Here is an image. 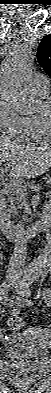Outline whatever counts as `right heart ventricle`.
<instances>
[{
    "mask_svg": "<svg viewBox=\"0 0 51 393\" xmlns=\"http://www.w3.org/2000/svg\"><path fill=\"white\" fill-rule=\"evenodd\" d=\"M49 93L39 92L42 98H47ZM25 136L24 138L41 140L44 139V134L38 125L36 115L25 117L24 123Z\"/></svg>",
    "mask_w": 51,
    "mask_h": 393,
    "instance_id": "right-heart-ventricle-1",
    "label": "right heart ventricle"
}]
</instances>
